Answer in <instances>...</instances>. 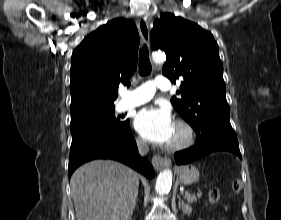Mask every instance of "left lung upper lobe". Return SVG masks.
Wrapping results in <instances>:
<instances>
[{"label":"left lung upper lobe","instance_id":"1","mask_svg":"<svg viewBox=\"0 0 281 220\" xmlns=\"http://www.w3.org/2000/svg\"><path fill=\"white\" fill-rule=\"evenodd\" d=\"M151 45L166 53L163 75L173 83L183 79L177 92L181 99L173 97L171 103L195 132L215 125L231 127L223 64L213 35L196 23L167 13L154 22Z\"/></svg>","mask_w":281,"mask_h":220}]
</instances>
